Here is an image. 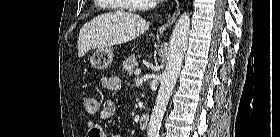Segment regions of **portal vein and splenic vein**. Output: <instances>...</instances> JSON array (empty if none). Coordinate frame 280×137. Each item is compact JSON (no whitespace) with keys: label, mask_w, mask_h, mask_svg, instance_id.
I'll return each mask as SVG.
<instances>
[{"label":"portal vein and splenic vein","mask_w":280,"mask_h":137,"mask_svg":"<svg viewBox=\"0 0 280 137\" xmlns=\"http://www.w3.org/2000/svg\"><path fill=\"white\" fill-rule=\"evenodd\" d=\"M141 73V70L140 69H136L135 71H134V74L135 75H139Z\"/></svg>","instance_id":"18ae733b"}]
</instances>
